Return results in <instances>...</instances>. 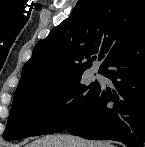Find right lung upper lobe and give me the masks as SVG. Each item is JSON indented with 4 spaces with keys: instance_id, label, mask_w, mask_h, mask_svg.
I'll list each match as a JSON object with an SVG mask.
<instances>
[{
    "instance_id": "right-lung-upper-lobe-1",
    "label": "right lung upper lobe",
    "mask_w": 145,
    "mask_h": 147,
    "mask_svg": "<svg viewBox=\"0 0 145 147\" xmlns=\"http://www.w3.org/2000/svg\"><path fill=\"white\" fill-rule=\"evenodd\" d=\"M145 31V0H78L69 18L34 47L15 92L57 87L92 66L104 65Z\"/></svg>"
}]
</instances>
